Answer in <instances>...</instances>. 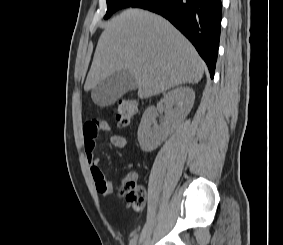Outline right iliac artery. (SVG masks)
Listing matches in <instances>:
<instances>
[{"label":"right iliac artery","mask_w":283,"mask_h":245,"mask_svg":"<svg viewBox=\"0 0 283 245\" xmlns=\"http://www.w3.org/2000/svg\"><path fill=\"white\" fill-rule=\"evenodd\" d=\"M136 242H137V235L134 236V238L130 241L129 245H136Z\"/></svg>","instance_id":"82829eb1"}]
</instances>
